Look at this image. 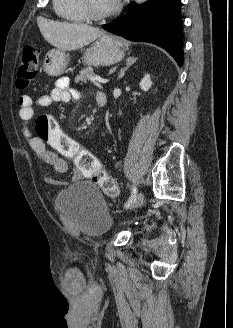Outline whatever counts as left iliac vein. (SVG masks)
<instances>
[{"mask_svg":"<svg viewBox=\"0 0 233 328\" xmlns=\"http://www.w3.org/2000/svg\"><path fill=\"white\" fill-rule=\"evenodd\" d=\"M144 202V195L142 193H138L134 199V201L131 203L129 207L135 209L140 207Z\"/></svg>","mask_w":233,"mask_h":328,"instance_id":"4c4485c4","label":"left iliac vein"}]
</instances>
